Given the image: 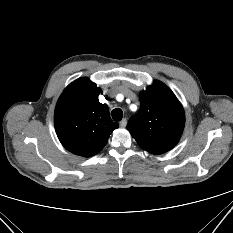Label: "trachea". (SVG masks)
Segmentation results:
<instances>
[{"mask_svg": "<svg viewBox=\"0 0 233 233\" xmlns=\"http://www.w3.org/2000/svg\"><path fill=\"white\" fill-rule=\"evenodd\" d=\"M111 115L114 121H120L123 117V112L120 108L112 110Z\"/></svg>", "mask_w": 233, "mask_h": 233, "instance_id": "1", "label": "trachea"}]
</instances>
